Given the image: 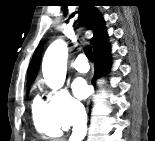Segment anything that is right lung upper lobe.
I'll list each match as a JSON object with an SVG mask.
<instances>
[{
	"mask_svg": "<svg viewBox=\"0 0 155 141\" xmlns=\"http://www.w3.org/2000/svg\"><path fill=\"white\" fill-rule=\"evenodd\" d=\"M79 15L83 24L93 31V37L91 38V44L93 45L98 38L106 32L104 20L101 14L96 10L93 3L90 1H82L80 3ZM40 64L39 51L36 50L33 58L30 62L28 73H27V84H31L35 78Z\"/></svg>",
	"mask_w": 155,
	"mask_h": 141,
	"instance_id": "obj_1",
	"label": "right lung upper lobe"
}]
</instances>
